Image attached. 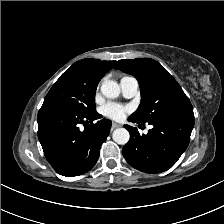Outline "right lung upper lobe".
<instances>
[{
    "label": "right lung upper lobe",
    "mask_w": 224,
    "mask_h": 224,
    "mask_svg": "<svg viewBox=\"0 0 224 224\" xmlns=\"http://www.w3.org/2000/svg\"><path fill=\"white\" fill-rule=\"evenodd\" d=\"M116 61H100L97 59H82L78 62L74 63L73 67H79L92 75L102 78L105 73H107L110 69H112L115 65Z\"/></svg>",
    "instance_id": "cb5924a9"
}]
</instances>
